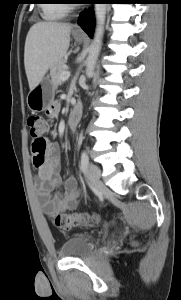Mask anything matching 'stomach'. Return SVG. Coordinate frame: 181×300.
<instances>
[{"label":"stomach","instance_id":"0dacf381","mask_svg":"<svg viewBox=\"0 0 181 300\" xmlns=\"http://www.w3.org/2000/svg\"><path fill=\"white\" fill-rule=\"evenodd\" d=\"M76 41L82 42L83 38L75 36ZM55 87L50 77H44L39 84L32 89L27 96V104L30 110L40 112L47 109L54 99Z\"/></svg>","mask_w":181,"mask_h":300}]
</instances>
